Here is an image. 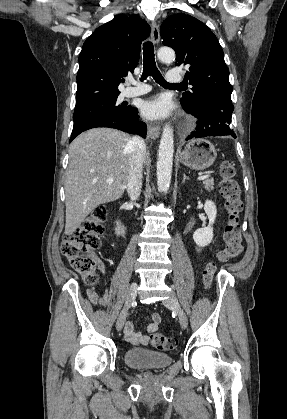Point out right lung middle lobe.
Instances as JSON below:
<instances>
[{
    "label": "right lung middle lobe",
    "mask_w": 287,
    "mask_h": 419,
    "mask_svg": "<svg viewBox=\"0 0 287 419\" xmlns=\"http://www.w3.org/2000/svg\"><path fill=\"white\" fill-rule=\"evenodd\" d=\"M118 95L101 99L90 104L75 107L73 120L74 126L79 124L80 122L97 116V115H104V114H111V115H126L129 114L132 110V107L127 106L125 103L119 104L117 102Z\"/></svg>",
    "instance_id": "obj_1"
}]
</instances>
